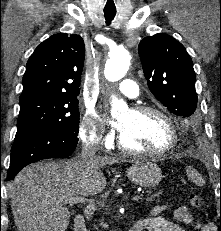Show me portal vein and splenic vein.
<instances>
[{"label":"portal vein and splenic vein","mask_w":221,"mask_h":231,"mask_svg":"<svg viewBox=\"0 0 221 231\" xmlns=\"http://www.w3.org/2000/svg\"><path fill=\"white\" fill-rule=\"evenodd\" d=\"M142 198V195H135L132 197L133 201H138ZM63 202L65 204H77V203H86V202H92L90 199L82 197V196H76V197H72V198H68L63 200Z\"/></svg>","instance_id":"portal-vein-and-splenic-vein-1"}]
</instances>
